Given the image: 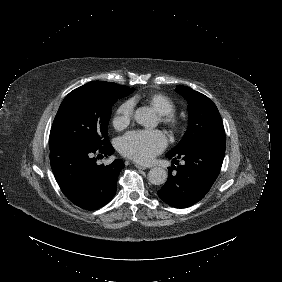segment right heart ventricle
Here are the masks:
<instances>
[{
    "mask_svg": "<svg viewBox=\"0 0 282 282\" xmlns=\"http://www.w3.org/2000/svg\"><path fill=\"white\" fill-rule=\"evenodd\" d=\"M137 100L138 97L133 98L130 102V105H134ZM148 102L153 109L161 115L171 114L174 111V105L172 101L162 94H154L150 96Z\"/></svg>",
    "mask_w": 282,
    "mask_h": 282,
    "instance_id": "e07e8e85",
    "label": "right heart ventricle"
}]
</instances>
